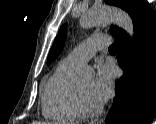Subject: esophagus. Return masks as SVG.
Masks as SVG:
<instances>
[{
  "instance_id": "esophagus-1",
  "label": "esophagus",
  "mask_w": 156,
  "mask_h": 124,
  "mask_svg": "<svg viewBox=\"0 0 156 124\" xmlns=\"http://www.w3.org/2000/svg\"><path fill=\"white\" fill-rule=\"evenodd\" d=\"M103 122V118L94 120L91 124H101Z\"/></svg>"
}]
</instances>
